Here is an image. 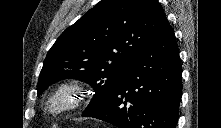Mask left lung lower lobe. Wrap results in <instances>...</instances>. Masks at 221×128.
Instances as JSON below:
<instances>
[{
    "mask_svg": "<svg viewBox=\"0 0 221 128\" xmlns=\"http://www.w3.org/2000/svg\"><path fill=\"white\" fill-rule=\"evenodd\" d=\"M182 68L174 31L167 23L140 52L113 94L83 113L119 128H175Z\"/></svg>",
    "mask_w": 221,
    "mask_h": 128,
    "instance_id": "left-lung-lower-lobe-1",
    "label": "left lung lower lobe"
}]
</instances>
